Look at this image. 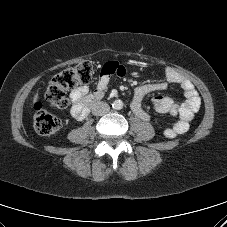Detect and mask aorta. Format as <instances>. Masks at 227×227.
I'll use <instances>...</instances> for the list:
<instances>
[{
  "label": "aorta",
  "instance_id": "762f6f07",
  "mask_svg": "<svg viewBox=\"0 0 227 227\" xmlns=\"http://www.w3.org/2000/svg\"><path fill=\"white\" fill-rule=\"evenodd\" d=\"M113 108L116 109V110H120L123 108V102L118 99V100H115L112 104Z\"/></svg>",
  "mask_w": 227,
  "mask_h": 227
}]
</instances>
